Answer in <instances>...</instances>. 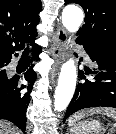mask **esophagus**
Wrapping results in <instances>:
<instances>
[{"mask_svg": "<svg viewBox=\"0 0 116 134\" xmlns=\"http://www.w3.org/2000/svg\"><path fill=\"white\" fill-rule=\"evenodd\" d=\"M67 33L59 26L56 31L54 42L50 48L54 59L53 72L57 71L59 65L66 57Z\"/></svg>", "mask_w": 116, "mask_h": 134, "instance_id": "1", "label": "esophagus"}]
</instances>
